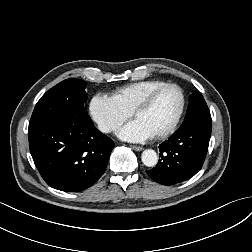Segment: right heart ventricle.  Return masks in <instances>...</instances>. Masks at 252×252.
I'll return each mask as SVG.
<instances>
[{
  "label": "right heart ventricle",
  "instance_id": "1",
  "mask_svg": "<svg viewBox=\"0 0 252 252\" xmlns=\"http://www.w3.org/2000/svg\"><path fill=\"white\" fill-rule=\"evenodd\" d=\"M165 83L162 80H142L128 83L113 90L111 97L125 110L132 112L137 103L151 90Z\"/></svg>",
  "mask_w": 252,
  "mask_h": 252
}]
</instances>
